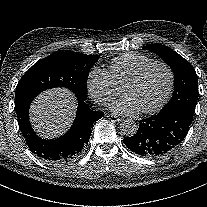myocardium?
Masks as SVG:
<instances>
[{
  "label": "myocardium",
  "mask_w": 207,
  "mask_h": 207,
  "mask_svg": "<svg viewBox=\"0 0 207 207\" xmlns=\"http://www.w3.org/2000/svg\"><path fill=\"white\" fill-rule=\"evenodd\" d=\"M155 66L162 67L163 69L166 70L168 77H169L168 87H167V90H166L165 95H164L163 99L161 100V102L153 109L139 112L138 114L140 116L154 115V114L158 113L160 110H162L167 105V103L172 95V92L174 90V86H175V76H174L173 70L171 69V67L167 63H165L163 61H152V62L146 64L145 66H143L139 71H137L134 75H132L129 79H127L126 82L123 84L122 94L125 96V91H124L125 87L133 85V84L137 83L138 81H140L142 79V77L151 68H153Z\"/></svg>",
  "instance_id": "myocardium-1"
}]
</instances>
